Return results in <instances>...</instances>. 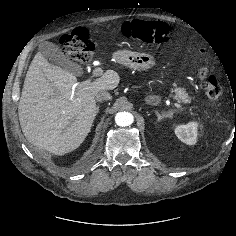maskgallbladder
<instances>
[{"label": "gallbladder", "instance_id": "gallbladder-1", "mask_svg": "<svg viewBox=\"0 0 236 236\" xmlns=\"http://www.w3.org/2000/svg\"><path fill=\"white\" fill-rule=\"evenodd\" d=\"M39 51L52 63L59 65L66 69L67 71L74 73V74H80L82 72V68L78 63L72 62L68 60L61 49L51 43V42H42L39 45Z\"/></svg>", "mask_w": 236, "mask_h": 236}]
</instances>
